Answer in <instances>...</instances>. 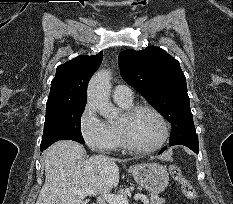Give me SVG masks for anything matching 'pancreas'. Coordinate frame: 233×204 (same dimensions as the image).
<instances>
[{"label": "pancreas", "instance_id": "cf45deb5", "mask_svg": "<svg viewBox=\"0 0 233 204\" xmlns=\"http://www.w3.org/2000/svg\"><path fill=\"white\" fill-rule=\"evenodd\" d=\"M126 194V193H125ZM165 200L157 194H151L150 204H164Z\"/></svg>", "mask_w": 233, "mask_h": 204}]
</instances>
